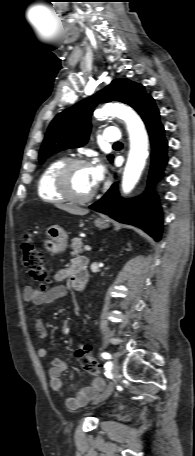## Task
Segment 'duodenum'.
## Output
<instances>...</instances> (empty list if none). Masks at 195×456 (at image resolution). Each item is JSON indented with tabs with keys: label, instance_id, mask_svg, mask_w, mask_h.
<instances>
[{
	"label": "duodenum",
	"instance_id": "410a0bca",
	"mask_svg": "<svg viewBox=\"0 0 195 456\" xmlns=\"http://www.w3.org/2000/svg\"><path fill=\"white\" fill-rule=\"evenodd\" d=\"M89 280V273L86 267V261L76 269L73 275L72 284L74 288L78 291L85 289Z\"/></svg>",
	"mask_w": 195,
	"mask_h": 456
}]
</instances>
